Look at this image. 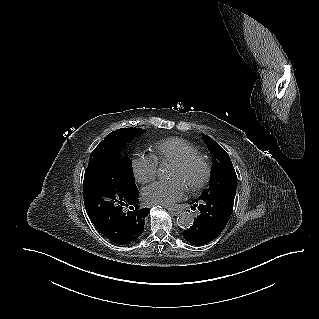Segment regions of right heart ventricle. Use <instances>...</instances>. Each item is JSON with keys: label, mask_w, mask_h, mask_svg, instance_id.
<instances>
[{"label": "right heart ventricle", "mask_w": 319, "mask_h": 319, "mask_svg": "<svg viewBox=\"0 0 319 319\" xmlns=\"http://www.w3.org/2000/svg\"><path fill=\"white\" fill-rule=\"evenodd\" d=\"M195 152H197V148L191 142L179 137L159 141L152 147V156L159 164H172Z\"/></svg>", "instance_id": "1"}]
</instances>
